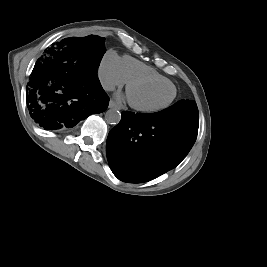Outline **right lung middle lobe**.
<instances>
[{"label": "right lung middle lobe", "instance_id": "obj_1", "mask_svg": "<svg viewBox=\"0 0 267 267\" xmlns=\"http://www.w3.org/2000/svg\"><path fill=\"white\" fill-rule=\"evenodd\" d=\"M60 43L72 48L78 56L84 58L89 68L98 69L100 61L106 52L104 38L95 35L66 38Z\"/></svg>", "mask_w": 267, "mask_h": 267}]
</instances>
